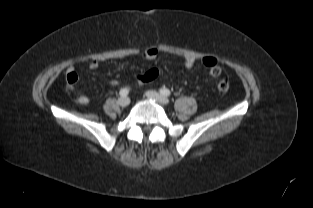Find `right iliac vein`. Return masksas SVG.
I'll use <instances>...</instances> for the list:
<instances>
[{
  "mask_svg": "<svg viewBox=\"0 0 313 208\" xmlns=\"http://www.w3.org/2000/svg\"><path fill=\"white\" fill-rule=\"evenodd\" d=\"M117 102L120 106L126 107L129 105L130 100L128 97H120Z\"/></svg>",
  "mask_w": 313,
  "mask_h": 208,
  "instance_id": "obj_1",
  "label": "right iliac vein"
}]
</instances>
